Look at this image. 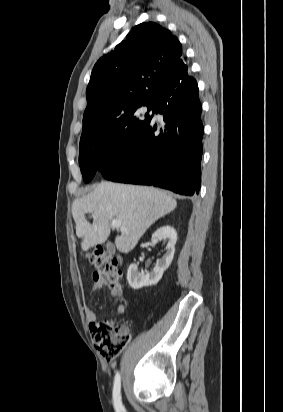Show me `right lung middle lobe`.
Instances as JSON below:
<instances>
[{"mask_svg": "<svg viewBox=\"0 0 283 412\" xmlns=\"http://www.w3.org/2000/svg\"><path fill=\"white\" fill-rule=\"evenodd\" d=\"M156 109V103L136 105L123 114L104 132L80 140L79 165L85 183L96 171L126 154L142 135Z\"/></svg>", "mask_w": 283, "mask_h": 412, "instance_id": "obj_1", "label": "right lung middle lobe"}]
</instances>
